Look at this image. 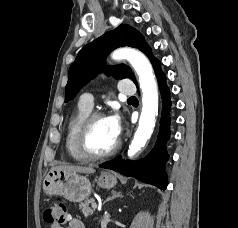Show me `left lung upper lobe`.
<instances>
[{
	"label": "left lung upper lobe",
	"instance_id": "obj_1",
	"mask_svg": "<svg viewBox=\"0 0 238 228\" xmlns=\"http://www.w3.org/2000/svg\"><path fill=\"white\" fill-rule=\"evenodd\" d=\"M130 46L152 55L151 48L144 37L133 27L121 24L115 30L84 46L78 53L68 72V83L65 88V102L73 99L80 89L93 79L99 72L111 73L114 78L130 77L134 80L131 69L120 64L108 69L105 58L115 48ZM136 83V81L134 80Z\"/></svg>",
	"mask_w": 238,
	"mask_h": 228
}]
</instances>
